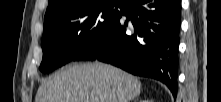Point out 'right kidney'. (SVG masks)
Here are the masks:
<instances>
[{
  "label": "right kidney",
  "instance_id": "ca27d5eb",
  "mask_svg": "<svg viewBox=\"0 0 221 102\" xmlns=\"http://www.w3.org/2000/svg\"><path fill=\"white\" fill-rule=\"evenodd\" d=\"M143 102H149V100H143Z\"/></svg>",
  "mask_w": 221,
  "mask_h": 102
}]
</instances>
